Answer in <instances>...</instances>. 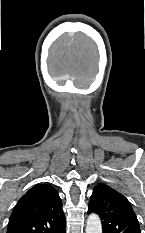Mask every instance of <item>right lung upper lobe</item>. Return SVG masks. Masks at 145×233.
<instances>
[{
	"label": "right lung upper lobe",
	"mask_w": 145,
	"mask_h": 233,
	"mask_svg": "<svg viewBox=\"0 0 145 233\" xmlns=\"http://www.w3.org/2000/svg\"><path fill=\"white\" fill-rule=\"evenodd\" d=\"M65 224L58 192L49 184L31 188L16 204L7 233H54Z\"/></svg>",
	"instance_id": "1"
}]
</instances>
